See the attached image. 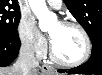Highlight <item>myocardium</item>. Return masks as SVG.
Returning <instances> with one entry per match:
<instances>
[{
    "label": "myocardium",
    "mask_w": 102,
    "mask_h": 75,
    "mask_svg": "<svg viewBox=\"0 0 102 75\" xmlns=\"http://www.w3.org/2000/svg\"><path fill=\"white\" fill-rule=\"evenodd\" d=\"M59 24L62 26H69V27H74V28L78 29L84 38L85 50H84L83 55L79 59H77L76 61H73V62H67V61H64L58 57V55L56 54L55 49L50 41V43H49L50 58L52 59L53 62H55L61 66H64V67H73V66L82 64L89 58V56L91 54V50H92L91 40H90V37H89L86 29L80 23H78L77 21L72 20V19L61 20V21H59Z\"/></svg>",
    "instance_id": "myocardium-1"
}]
</instances>
